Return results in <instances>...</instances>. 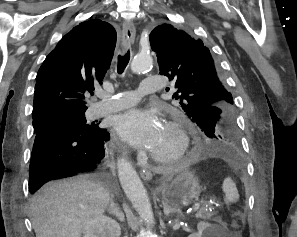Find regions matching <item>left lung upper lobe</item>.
I'll return each mask as SVG.
<instances>
[{"instance_id":"obj_1","label":"left lung upper lobe","mask_w":297,"mask_h":237,"mask_svg":"<svg viewBox=\"0 0 297 237\" xmlns=\"http://www.w3.org/2000/svg\"><path fill=\"white\" fill-rule=\"evenodd\" d=\"M160 74L172 81L173 98L211 140L234 154L240 149L232 94L226 89L217 61L201 39L172 25L150 33Z\"/></svg>"}]
</instances>
